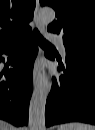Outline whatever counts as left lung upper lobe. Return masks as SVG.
Masks as SVG:
<instances>
[{"mask_svg": "<svg viewBox=\"0 0 95 130\" xmlns=\"http://www.w3.org/2000/svg\"><path fill=\"white\" fill-rule=\"evenodd\" d=\"M55 9L48 31L63 36L65 47L95 55V0H40Z\"/></svg>", "mask_w": 95, "mask_h": 130, "instance_id": "5c2ea615", "label": "left lung upper lobe"}]
</instances>
